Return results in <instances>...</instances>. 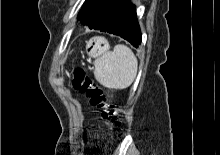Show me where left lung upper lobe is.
Returning a JSON list of instances; mask_svg holds the SVG:
<instances>
[{
	"label": "left lung upper lobe",
	"mask_w": 220,
	"mask_h": 155,
	"mask_svg": "<svg viewBox=\"0 0 220 155\" xmlns=\"http://www.w3.org/2000/svg\"><path fill=\"white\" fill-rule=\"evenodd\" d=\"M97 0H86L83 8L81 9L80 13H79V17L78 19H81L82 16L86 13V11L96 2Z\"/></svg>",
	"instance_id": "5c2ea615"
}]
</instances>
